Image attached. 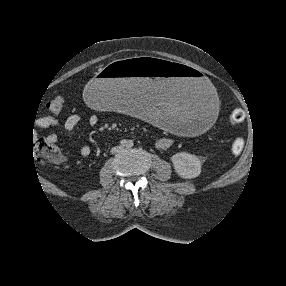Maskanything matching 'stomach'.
<instances>
[{"mask_svg":"<svg viewBox=\"0 0 286 286\" xmlns=\"http://www.w3.org/2000/svg\"><path fill=\"white\" fill-rule=\"evenodd\" d=\"M90 109H117L179 138L207 133L219 115L212 81L198 68L165 58L123 56L90 76L83 89Z\"/></svg>","mask_w":286,"mask_h":286,"instance_id":"obj_1","label":"stomach"}]
</instances>
